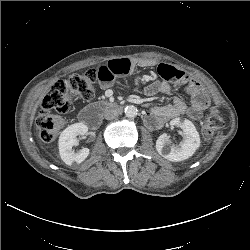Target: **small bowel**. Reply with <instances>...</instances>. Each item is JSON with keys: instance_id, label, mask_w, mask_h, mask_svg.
<instances>
[{"instance_id": "1", "label": "small bowel", "mask_w": 250, "mask_h": 250, "mask_svg": "<svg viewBox=\"0 0 250 250\" xmlns=\"http://www.w3.org/2000/svg\"><path fill=\"white\" fill-rule=\"evenodd\" d=\"M136 64L129 59L112 60L102 65L98 73V81L103 88L113 86L117 77L127 75L133 71ZM162 81H154L144 88L146 96H154L158 92L171 94L175 84L185 85L189 103L178 96L173 97L171 104L151 107L146 122L154 128L162 127L166 122L181 115H188L194 120L201 118L203 110L208 106V97L201 85L184 71L166 64L158 66Z\"/></svg>"}]
</instances>
